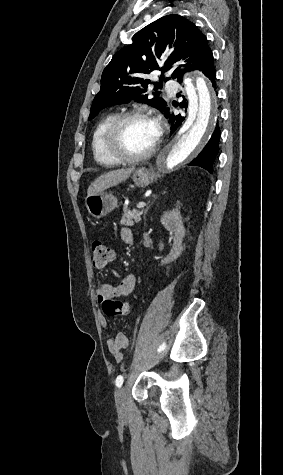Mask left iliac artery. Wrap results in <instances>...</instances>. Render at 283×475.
I'll return each instance as SVG.
<instances>
[{
  "label": "left iliac artery",
  "mask_w": 283,
  "mask_h": 475,
  "mask_svg": "<svg viewBox=\"0 0 283 475\" xmlns=\"http://www.w3.org/2000/svg\"><path fill=\"white\" fill-rule=\"evenodd\" d=\"M165 347H166V344L163 343V344L159 347L158 352L163 351V350L165 349ZM123 381H124L123 376L119 375V376L116 378V381H115V382H116V386H117V387H121L122 384H123Z\"/></svg>",
  "instance_id": "1"
}]
</instances>
